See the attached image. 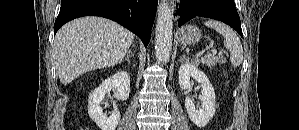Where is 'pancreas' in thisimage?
Wrapping results in <instances>:
<instances>
[{
    "instance_id": "cf45deb5",
    "label": "pancreas",
    "mask_w": 299,
    "mask_h": 130,
    "mask_svg": "<svg viewBox=\"0 0 299 130\" xmlns=\"http://www.w3.org/2000/svg\"><path fill=\"white\" fill-rule=\"evenodd\" d=\"M224 62V58L223 57H217L214 55H207L201 59H195L192 61L193 64H205L208 67H212L214 65H216L217 63H223Z\"/></svg>"
}]
</instances>
